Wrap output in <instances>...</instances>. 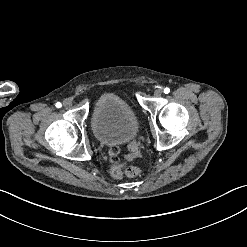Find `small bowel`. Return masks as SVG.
Instances as JSON below:
<instances>
[{
  "mask_svg": "<svg viewBox=\"0 0 247 247\" xmlns=\"http://www.w3.org/2000/svg\"><path fill=\"white\" fill-rule=\"evenodd\" d=\"M121 154V149L119 147H113L109 150V155L112 157L110 159V164L112 166H117L119 164V159L116 156Z\"/></svg>",
  "mask_w": 247,
  "mask_h": 247,
  "instance_id": "small-bowel-1",
  "label": "small bowel"
}]
</instances>
